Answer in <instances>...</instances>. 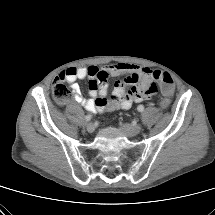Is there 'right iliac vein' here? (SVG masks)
Returning a JSON list of instances; mask_svg holds the SVG:
<instances>
[{"label":"right iliac vein","instance_id":"obj_1","mask_svg":"<svg viewBox=\"0 0 215 215\" xmlns=\"http://www.w3.org/2000/svg\"><path fill=\"white\" fill-rule=\"evenodd\" d=\"M86 129H87L88 132L92 133V132L95 131V125L93 123H88L86 125Z\"/></svg>","mask_w":215,"mask_h":215}]
</instances>
